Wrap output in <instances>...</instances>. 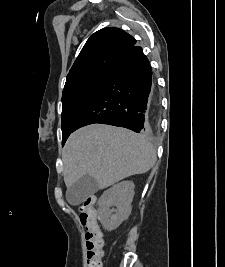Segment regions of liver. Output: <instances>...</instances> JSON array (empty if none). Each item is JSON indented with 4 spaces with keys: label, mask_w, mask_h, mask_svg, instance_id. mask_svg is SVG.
I'll return each instance as SVG.
<instances>
[{
    "label": "liver",
    "mask_w": 225,
    "mask_h": 267,
    "mask_svg": "<svg viewBox=\"0 0 225 267\" xmlns=\"http://www.w3.org/2000/svg\"><path fill=\"white\" fill-rule=\"evenodd\" d=\"M62 160L67 188L88 174L104 189L129 176L148 172L156 161V151L142 134L90 124L70 135Z\"/></svg>",
    "instance_id": "6515ba94"
}]
</instances>
